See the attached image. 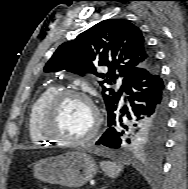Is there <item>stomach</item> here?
<instances>
[{"mask_svg": "<svg viewBox=\"0 0 188 189\" xmlns=\"http://www.w3.org/2000/svg\"><path fill=\"white\" fill-rule=\"evenodd\" d=\"M97 172L93 158L84 152L42 159L33 167L34 177L48 183L78 188L91 180Z\"/></svg>", "mask_w": 188, "mask_h": 189, "instance_id": "1", "label": "stomach"}]
</instances>
